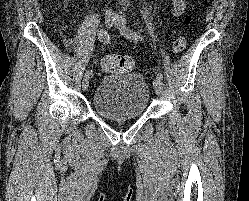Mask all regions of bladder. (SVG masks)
<instances>
[{
    "label": "bladder",
    "mask_w": 249,
    "mask_h": 201,
    "mask_svg": "<svg viewBox=\"0 0 249 201\" xmlns=\"http://www.w3.org/2000/svg\"><path fill=\"white\" fill-rule=\"evenodd\" d=\"M149 89L139 73L109 74L103 77L92 97L95 112L114 121L141 117L148 108Z\"/></svg>",
    "instance_id": "1"
}]
</instances>
